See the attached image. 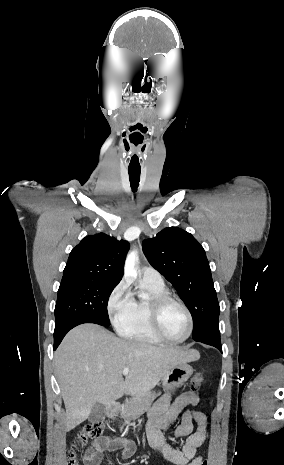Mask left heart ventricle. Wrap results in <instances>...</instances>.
Wrapping results in <instances>:
<instances>
[{"label": "left heart ventricle", "instance_id": "1", "mask_svg": "<svg viewBox=\"0 0 284 465\" xmlns=\"http://www.w3.org/2000/svg\"><path fill=\"white\" fill-rule=\"evenodd\" d=\"M162 331L171 340L184 338L189 329V320L186 312L176 304H170L162 317Z\"/></svg>", "mask_w": 284, "mask_h": 465}]
</instances>
